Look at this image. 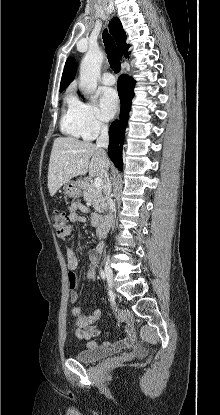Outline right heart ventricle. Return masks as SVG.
Masks as SVG:
<instances>
[{
    "mask_svg": "<svg viewBox=\"0 0 220 415\" xmlns=\"http://www.w3.org/2000/svg\"><path fill=\"white\" fill-rule=\"evenodd\" d=\"M80 104L81 102L73 93L69 92L66 95L60 120V128L68 136L87 139L83 132Z\"/></svg>",
    "mask_w": 220,
    "mask_h": 415,
    "instance_id": "e07e8e85",
    "label": "right heart ventricle"
}]
</instances>
